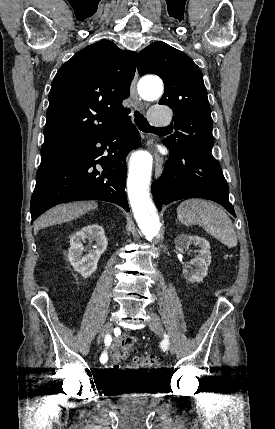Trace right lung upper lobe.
<instances>
[{
  "instance_id": "obj_1",
  "label": "right lung upper lobe",
  "mask_w": 275,
  "mask_h": 429,
  "mask_svg": "<svg viewBox=\"0 0 275 429\" xmlns=\"http://www.w3.org/2000/svg\"><path fill=\"white\" fill-rule=\"evenodd\" d=\"M137 54L101 40L77 52L58 70L49 93L41 154L117 127L127 119Z\"/></svg>"
}]
</instances>
